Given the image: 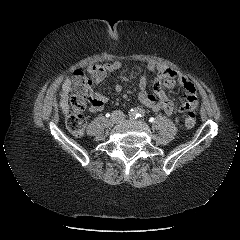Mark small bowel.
I'll use <instances>...</instances> for the list:
<instances>
[{
    "label": "small bowel",
    "instance_id": "c3829d8e",
    "mask_svg": "<svg viewBox=\"0 0 240 240\" xmlns=\"http://www.w3.org/2000/svg\"><path fill=\"white\" fill-rule=\"evenodd\" d=\"M121 68L120 61H113L110 63L97 64L91 68L94 72V80L87 89L88 98L91 104V111L98 113L104 109L105 104L108 101V97L98 91L97 85L104 80L107 73H112ZM146 68L157 74V78L153 85V94L147 90V77L142 75L139 80V100L140 102L155 112H164L169 116L179 121V117L175 116L180 113L182 116H186L189 111H194L197 107V95L196 88L189 81V79L183 74L166 66L156 64L154 62H148ZM179 83L184 89L185 102L179 103L170 100L163 88L173 89L176 87V83ZM122 87L116 85L114 88V94L120 95Z\"/></svg>",
    "mask_w": 240,
    "mask_h": 240
}]
</instances>
